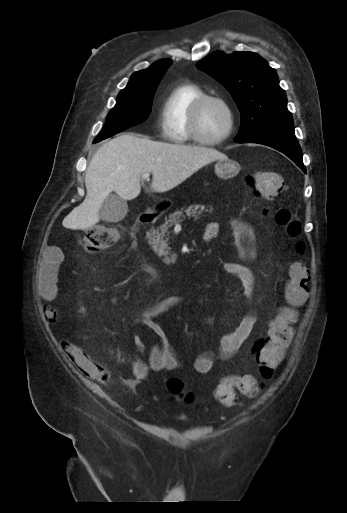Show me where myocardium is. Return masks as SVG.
I'll return each instance as SVG.
<instances>
[{"label": "myocardium", "instance_id": "1", "mask_svg": "<svg viewBox=\"0 0 347 513\" xmlns=\"http://www.w3.org/2000/svg\"><path fill=\"white\" fill-rule=\"evenodd\" d=\"M208 102H217L221 104L228 115V127L223 135H221L218 138L214 139H208L201 135L199 130V121L202 109L204 105ZM235 112L233 107L231 106L230 102L218 95H212V94H204L200 96L195 103L192 105L190 112H189V118H188V129L190 133V137L193 141H195L198 144L205 145V146H216L224 141H226L233 133L235 129Z\"/></svg>", "mask_w": 347, "mask_h": 513}]
</instances>
